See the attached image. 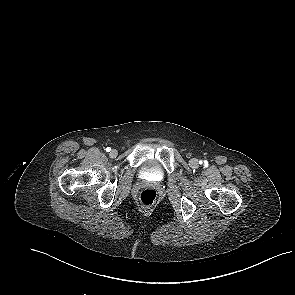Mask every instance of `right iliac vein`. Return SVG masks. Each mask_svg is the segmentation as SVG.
Segmentation results:
<instances>
[{
  "instance_id": "63e3f726",
  "label": "right iliac vein",
  "mask_w": 295,
  "mask_h": 295,
  "mask_svg": "<svg viewBox=\"0 0 295 295\" xmlns=\"http://www.w3.org/2000/svg\"><path fill=\"white\" fill-rule=\"evenodd\" d=\"M117 155H118V151H117L116 149H112V150L110 151L109 156H110L111 158H115Z\"/></svg>"
}]
</instances>
